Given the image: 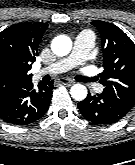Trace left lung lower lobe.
I'll return each instance as SVG.
<instances>
[{
  "label": "left lung lower lobe",
  "instance_id": "1",
  "mask_svg": "<svg viewBox=\"0 0 135 165\" xmlns=\"http://www.w3.org/2000/svg\"><path fill=\"white\" fill-rule=\"evenodd\" d=\"M81 114L95 124H111L122 119L130 109L112 95L102 92L97 95H88L78 103Z\"/></svg>",
  "mask_w": 135,
  "mask_h": 165
}]
</instances>
